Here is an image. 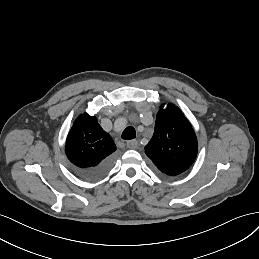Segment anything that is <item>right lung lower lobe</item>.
Wrapping results in <instances>:
<instances>
[{
  "label": "right lung lower lobe",
  "instance_id": "right-lung-lower-lobe-1",
  "mask_svg": "<svg viewBox=\"0 0 259 259\" xmlns=\"http://www.w3.org/2000/svg\"><path fill=\"white\" fill-rule=\"evenodd\" d=\"M114 161H115V158L113 155H111L110 157L106 158L101 163H99L97 166L89 167V168H80V167L74 166L72 170L76 175H78L81 178H84L87 180H93L109 172L114 164Z\"/></svg>",
  "mask_w": 259,
  "mask_h": 259
}]
</instances>
